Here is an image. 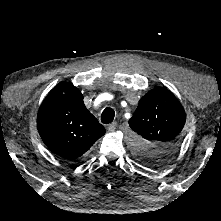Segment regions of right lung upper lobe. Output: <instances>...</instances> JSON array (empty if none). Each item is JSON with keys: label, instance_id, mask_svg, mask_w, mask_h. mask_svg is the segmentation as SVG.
Segmentation results:
<instances>
[{"label": "right lung upper lobe", "instance_id": "cb5924a9", "mask_svg": "<svg viewBox=\"0 0 221 221\" xmlns=\"http://www.w3.org/2000/svg\"><path fill=\"white\" fill-rule=\"evenodd\" d=\"M39 134L55 154L74 160L105 134L87 110L83 95L72 84H57L43 101L37 116Z\"/></svg>", "mask_w": 221, "mask_h": 221}]
</instances>
